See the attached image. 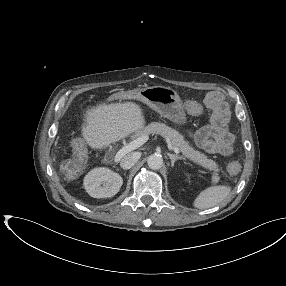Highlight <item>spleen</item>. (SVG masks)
Here are the masks:
<instances>
[{"instance_id": "3e777b00", "label": "spleen", "mask_w": 286, "mask_h": 286, "mask_svg": "<svg viewBox=\"0 0 286 286\" xmlns=\"http://www.w3.org/2000/svg\"><path fill=\"white\" fill-rule=\"evenodd\" d=\"M231 192V187L225 185L210 186L203 190L194 200V206L208 209L220 204Z\"/></svg>"}]
</instances>
